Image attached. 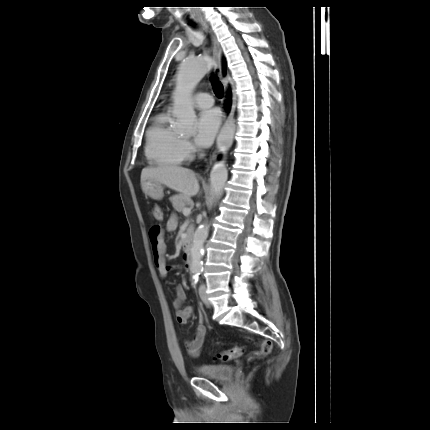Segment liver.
Returning a JSON list of instances; mask_svg holds the SVG:
<instances>
[{
	"mask_svg": "<svg viewBox=\"0 0 430 430\" xmlns=\"http://www.w3.org/2000/svg\"><path fill=\"white\" fill-rule=\"evenodd\" d=\"M147 179L156 180L187 197L197 195L200 189L196 175L192 170L174 165L142 169L141 183Z\"/></svg>",
	"mask_w": 430,
	"mask_h": 430,
	"instance_id": "6515ba94",
	"label": "liver"
}]
</instances>
